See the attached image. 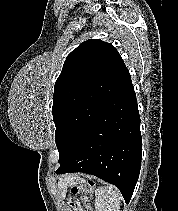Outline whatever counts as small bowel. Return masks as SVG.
Listing matches in <instances>:
<instances>
[{"mask_svg": "<svg viewBox=\"0 0 178 211\" xmlns=\"http://www.w3.org/2000/svg\"><path fill=\"white\" fill-rule=\"evenodd\" d=\"M73 211H89V209H82V208H79V207H74Z\"/></svg>", "mask_w": 178, "mask_h": 211, "instance_id": "c3829d8e", "label": "small bowel"}]
</instances>
